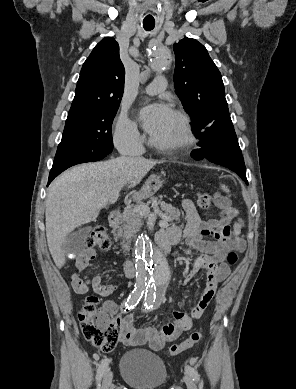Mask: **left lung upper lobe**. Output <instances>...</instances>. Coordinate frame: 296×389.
Instances as JSON below:
<instances>
[{"label": "left lung upper lobe", "mask_w": 296, "mask_h": 389, "mask_svg": "<svg viewBox=\"0 0 296 389\" xmlns=\"http://www.w3.org/2000/svg\"><path fill=\"white\" fill-rule=\"evenodd\" d=\"M176 63L174 86L184 109L192 118L191 128L198 139L217 118L228 114L221 74L206 48L185 37L173 45Z\"/></svg>", "instance_id": "obj_1"}]
</instances>
